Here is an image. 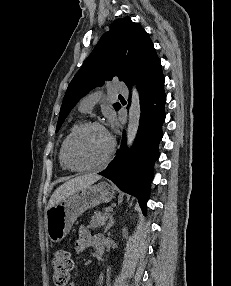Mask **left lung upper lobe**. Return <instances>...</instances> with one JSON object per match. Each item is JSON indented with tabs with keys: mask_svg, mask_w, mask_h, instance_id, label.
<instances>
[{
	"mask_svg": "<svg viewBox=\"0 0 231 286\" xmlns=\"http://www.w3.org/2000/svg\"><path fill=\"white\" fill-rule=\"evenodd\" d=\"M158 59L148 33L130 17L117 19L69 84L60 109L56 132L81 97L117 76L129 86ZM118 110L120 104H114Z\"/></svg>",
	"mask_w": 231,
	"mask_h": 286,
	"instance_id": "obj_1",
	"label": "left lung upper lobe"
}]
</instances>
